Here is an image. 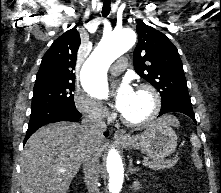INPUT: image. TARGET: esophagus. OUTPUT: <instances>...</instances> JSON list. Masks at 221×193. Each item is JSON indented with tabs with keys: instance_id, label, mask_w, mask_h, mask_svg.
Listing matches in <instances>:
<instances>
[{
	"instance_id": "1",
	"label": "esophagus",
	"mask_w": 221,
	"mask_h": 193,
	"mask_svg": "<svg viewBox=\"0 0 221 193\" xmlns=\"http://www.w3.org/2000/svg\"><path fill=\"white\" fill-rule=\"evenodd\" d=\"M116 139H127L126 131L123 129L116 130L114 133Z\"/></svg>"
}]
</instances>
